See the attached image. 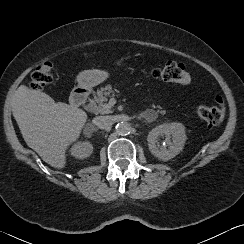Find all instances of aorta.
<instances>
[{
    "mask_svg": "<svg viewBox=\"0 0 244 244\" xmlns=\"http://www.w3.org/2000/svg\"><path fill=\"white\" fill-rule=\"evenodd\" d=\"M116 131L120 135H127L131 132V126L127 122H120L116 125Z\"/></svg>",
    "mask_w": 244,
    "mask_h": 244,
    "instance_id": "762f6f07",
    "label": "aorta"
}]
</instances>
